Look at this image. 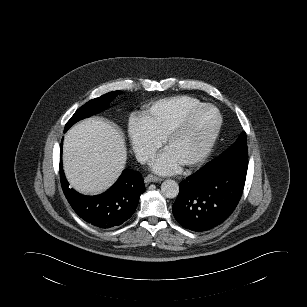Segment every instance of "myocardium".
<instances>
[{"label": "myocardium", "instance_id": "obj_1", "mask_svg": "<svg viewBox=\"0 0 307 307\" xmlns=\"http://www.w3.org/2000/svg\"><path fill=\"white\" fill-rule=\"evenodd\" d=\"M204 108L210 109L215 112L217 116L216 125L212 133L210 134V136L208 137V139L202 146V148L192 158H190L189 160H187L186 162L182 164L184 167H192V166H195L201 163L202 161L206 159V157L212 151L218 139L219 133L221 131L222 123H223L222 115L220 111L218 110V108H216L214 105L209 104V103H199L197 105L190 107L180 116V118L175 123V125L168 131V133L163 138V146L166 149L169 143L183 132L191 116L198 110L204 109Z\"/></svg>", "mask_w": 307, "mask_h": 307}]
</instances>
